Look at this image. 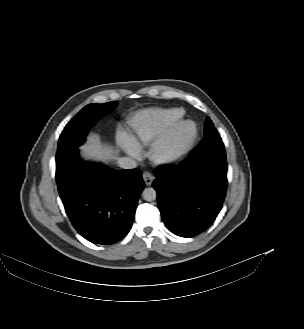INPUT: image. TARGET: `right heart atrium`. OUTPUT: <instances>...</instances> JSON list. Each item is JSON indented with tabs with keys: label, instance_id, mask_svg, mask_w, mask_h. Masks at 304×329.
Listing matches in <instances>:
<instances>
[{
	"label": "right heart atrium",
	"instance_id": "1",
	"mask_svg": "<svg viewBox=\"0 0 304 329\" xmlns=\"http://www.w3.org/2000/svg\"><path fill=\"white\" fill-rule=\"evenodd\" d=\"M118 141L121 147L135 158L141 157L140 147L133 141V139L124 132L118 133Z\"/></svg>",
	"mask_w": 304,
	"mask_h": 329
}]
</instances>
